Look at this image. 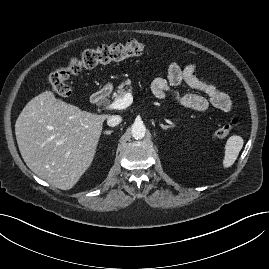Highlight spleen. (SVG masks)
Wrapping results in <instances>:
<instances>
[{
	"label": "spleen",
	"instance_id": "obj_1",
	"mask_svg": "<svg viewBox=\"0 0 269 269\" xmlns=\"http://www.w3.org/2000/svg\"><path fill=\"white\" fill-rule=\"evenodd\" d=\"M243 144V138L238 135H232L228 138L225 145V155L223 159L224 168H229L234 164L239 155V152L243 147Z\"/></svg>",
	"mask_w": 269,
	"mask_h": 269
}]
</instances>
